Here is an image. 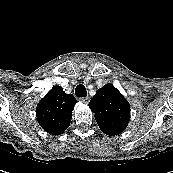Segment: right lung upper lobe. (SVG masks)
Returning a JSON list of instances; mask_svg holds the SVG:
<instances>
[{
    "mask_svg": "<svg viewBox=\"0 0 173 173\" xmlns=\"http://www.w3.org/2000/svg\"><path fill=\"white\" fill-rule=\"evenodd\" d=\"M76 103L72 94H66L60 86H54L37 106L39 124L52 135L63 133L70 125Z\"/></svg>",
    "mask_w": 173,
    "mask_h": 173,
    "instance_id": "right-lung-upper-lobe-1",
    "label": "right lung upper lobe"
}]
</instances>
